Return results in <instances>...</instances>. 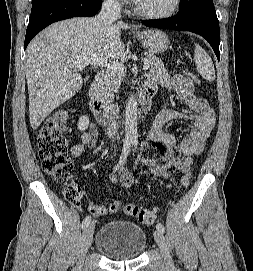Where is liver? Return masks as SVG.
<instances>
[{
	"label": "liver",
	"instance_id": "6515ba94",
	"mask_svg": "<svg viewBox=\"0 0 253 271\" xmlns=\"http://www.w3.org/2000/svg\"><path fill=\"white\" fill-rule=\"evenodd\" d=\"M129 28L122 21L104 26L97 17H77L50 25L30 42L25 74L32 129L89 79L79 74L75 62L94 57L119 59L125 51L121 31Z\"/></svg>",
	"mask_w": 253,
	"mask_h": 271
}]
</instances>
